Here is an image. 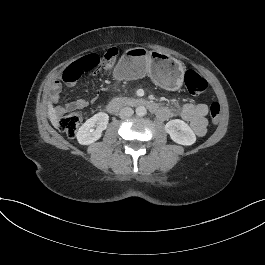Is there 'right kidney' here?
<instances>
[{
	"label": "right kidney",
	"instance_id": "obj_1",
	"mask_svg": "<svg viewBox=\"0 0 265 265\" xmlns=\"http://www.w3.org/2000/svg\"><path fill=\"white\" fill-rule=\"evenodd\" d=\"M109 116L106 113H97L86 120L79 128L76 138L80 145H91L102 138V131L107 129Z\"/></svg>",
	"mask_w": 265,
	"mask_h": 265
}]
</instances>
